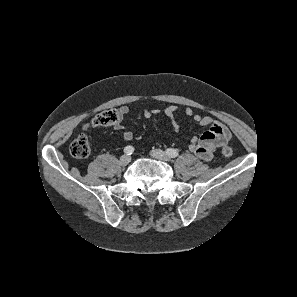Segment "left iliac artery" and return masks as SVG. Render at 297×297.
<instances>
[{
    "instance_id": "1",
    "label": "left iliac artery",
    "mask_w": 297,
    "mask_h": 297,
    "mask_svg": "<svg viewBox=\"0 0 297 297\" xmlns=\"http://www.w3.org/2000/svg\"><path fill=\"white\" fill-rule=\"evenodd\" d=\"M166 153H167L170 157H172V158H175V157H177V156L179 155L178 150L173 149V148H169V149H167V150H166Z\"/></svg>"
}]
</instances>
